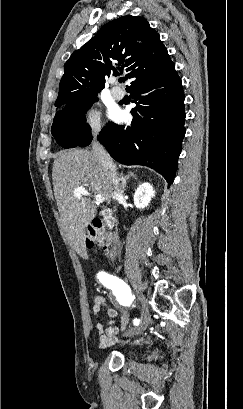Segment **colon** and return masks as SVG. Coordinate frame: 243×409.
<instances>
[{
    "label": "colon",
    "instance_id": "1",
    "mask_svg": "<svg viewBox=\"0 0 243 409\" xmlns=\"http://www.w3.org/2000/svg\"><path fill=\"white\" fill-rule=\"evenodd\" d=\"M113 238L105 234L101 228L100 222H93L88 226L86 233V245L88 247H104L108 249Z\"/></svg>",
    "mask_w": 243,
    "mask_h": 409
}]
</instances>
